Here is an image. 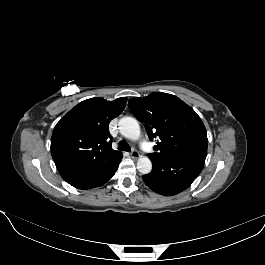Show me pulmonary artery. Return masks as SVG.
Returning <instances> with one entry per match:
<instances>
[{
  "label": "pulmonary artery",
  "mask_w": 265,
  "mask_h": 265,
  "mask_svg": "<svg viewBox=\"0 0 265 265\" xmlns=\"http://www.w3.org/2000/svg\"><path fill=\"white\" fill-rule=\"evenodd\" d=\"M140 147L146 152H149V153L151 152L148 141L146 139L140 140Z\"/></svg>",
  "instance_id": "pulmonary-artery-1"
}]
</instances>
